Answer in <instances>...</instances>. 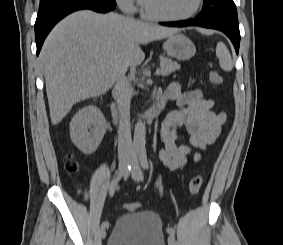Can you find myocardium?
Listing matches in <instances>:
<instances>
[{
  "label": "myocardium",
  "instance_id": "obj_1",
  "mask_svg": "<svg viewBox=\"0 0 283 245\" xmlns=\"http://www.w3.org/2000/svg\"><path fill=\"white\" fill-rule=\"evenodd\" d=\"M203 3H204V0H196L195 6L188 13L181 15V16L169 17V16H163V15H157V14L151 13L150 11L146 9L143 3V0H141L140 2L142 15L149 20L160 21V22H180V21L188 20L198 13V11L203 6Z\"/></svg>",
  "mask_w": 283,
  "mask_h": 245
}]
</instances>
